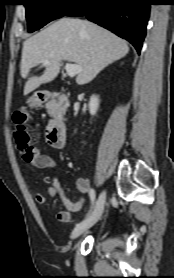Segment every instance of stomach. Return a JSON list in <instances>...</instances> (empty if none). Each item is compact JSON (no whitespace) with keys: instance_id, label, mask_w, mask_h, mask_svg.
<instances>
[{"instance_id":"0dacf381","label":"stomach","mask_w":174,"mask_h":278,"mask_svg":"<svg viewBox=\"0 0 174 278\" xmlns=\"http://www.w3.org/2000/svg\"><path fill=\"white\" fill-rule=\"evenodd\" d=\"M28 102H29V105L32 106V107H35V106L39 105V101H37L35 96L31 97Z\"/></svg>"}]
</instances>
